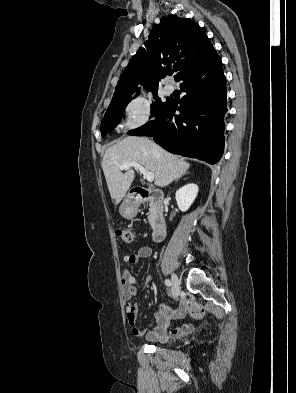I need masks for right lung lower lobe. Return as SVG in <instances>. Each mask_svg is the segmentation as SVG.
Returning a JSON list of instances; mask_svg holds the SVG:
<instances>
[{
  "label": "right lung lower lobe",
  "mask_w": 296,
  "mask_h": 393,
  "mask_svg": "<svg viewBox=\"0 0 296 393\" xmlns=\"http://www.w3.org/2000/svg\"><path fill=\"white\" fill-rule=\"evenodd\" d=\"M176 81H181V91L186 92L180 106L168 98L155 120L128 134L153 136L171 153L215 164L224 150L227 90L222 62L213 46Z\"/></svg>",
  "instance_id": "1"
}]
</instances>
